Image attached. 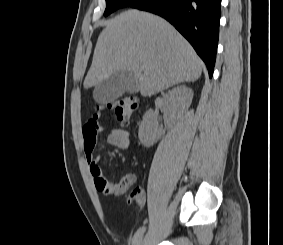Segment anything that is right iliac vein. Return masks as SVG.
Wrapping results in <instances>:
<instances>
[{
	"label": "right iliac vein",
	"instance_id": "63e3f726",
	"mask_svg": "<svg viewBox=\"0 0 283 245\" xmlns=\"http://www.w3.org/2000/svg\"><path fill=\"white\" fill-rule=\"evenodd\" d=\"M146 237L140 238L139 241L136 243V245H143Z\"/></svg>",
	"mask_w": 283,
	"mask_h": 245
}]
</instances>
